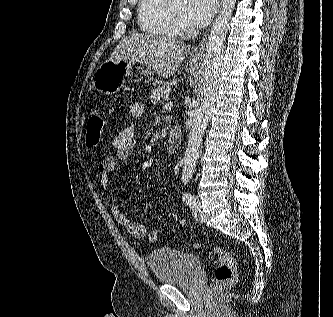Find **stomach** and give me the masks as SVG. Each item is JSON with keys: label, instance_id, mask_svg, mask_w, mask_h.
Segmentation results:
<instances>
[{"label": "stomach", "instance_id": "obj_1", "mask_svg": "<svg viewBox=\"0 0 333 317\" xmlns=\"http://www.w3.org/2000/svg\"><path fill=\"white\" fill-rule=\"evenodd\" d=\"M134 63L125 60H107L94 73L93 87L103 95H113L122 88V80L130 75Z\"/></svg>", "mask_w": 333, "mask_h": 317}]
</instances>
